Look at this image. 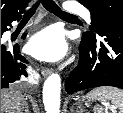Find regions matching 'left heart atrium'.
<instances>
[{"mask_svg":"<svg viewBox=\"0 0 123 113\" xmlns=\"http://www.w3.org/2000/svg\"><path fill=\"white\" fill-rule=\"evenodd\" d=\"M27 49L37 59L54 62L64 57L67 43L61 30L48 27L31 37Z\"/></svg>","mask_w":123,"mask_h":113,"instance_id":"left-heart-atrium-1","label":"left heart atrium"}]
</instances>
